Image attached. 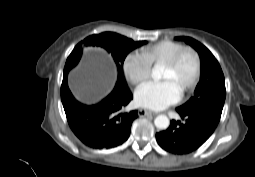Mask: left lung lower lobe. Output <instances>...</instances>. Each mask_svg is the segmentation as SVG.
I'll use <instances>...</instances> for the list:
<instances>
[{
    "instance_id": "0a47b994",
    "label": "left lung lower lobe",
    "mask_w": 255,
    "mask_h": 177,
    "mask_svg": "<svg viewBox=\"0 0 255 177\" xmlns=\"http://www.w3.org/2000/svg\"><path fill=\"white\" fill-rule=\"evenodd\" d=\"M176 110L185 122L172 120L167 130L156 134V140L168 152L188 154L197 150L212 135L220 117L205 112Z\"/></svg>"
}]
</instances>
